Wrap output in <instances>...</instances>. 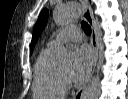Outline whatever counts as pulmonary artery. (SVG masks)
I'll return each mask as SVG.
<instances>
[{"mask_svg": "<svg viewBox=\"0 0 128 99\" xmlns=\"http://www.w3.org/2000/svg\"><path fill=\"white\" fill-rule=\"evenodd\" d=\"M80 39L81 33L78 27L70 25L62 29L54 39L50 40L48 42V47L53 49L62 43L77 42Z\"/></svg>", "mask_w": 128, "mask_h": 99, "instance_id": "pulmonary-artery-1", "label": "pulmonary artery"}]
</instances>
